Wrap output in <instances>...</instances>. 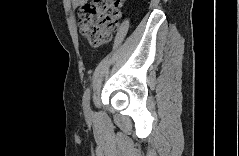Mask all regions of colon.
I'll return each instance as SVG.
<instances>
[{"instance_id":"obj_1","label":"colon","mask_w":239,"mask_h":156,"mask_svg":"<svg viewBox=\"0 0 239 156\" xmlns=\"http://www.w3.org/2000/svg\"><path fill=\"white\" fill-rule=\"evenodd\" d=\"M119 2L94 0L83 3L78 12L79 28L92 47L107 43L121 15Z\"/></svg>"}]
</instances>
